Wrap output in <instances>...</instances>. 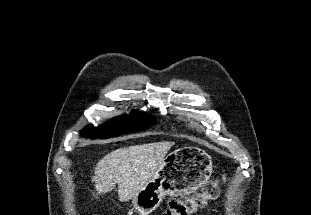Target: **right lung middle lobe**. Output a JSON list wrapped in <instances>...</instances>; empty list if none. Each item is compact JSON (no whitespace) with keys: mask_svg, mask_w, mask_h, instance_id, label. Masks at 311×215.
<instances>
[{"mask_svg":"<svg viewBox=\"0 0 311 215\" xmlns=\"http://www.w3.org/2000/svg\"><path fill=\"white\" fill-rule=\"evenodd\" d=\"M154 123V118L144 116L137 111H133L129 115L116 117L97 128L92 125H88L81 131V134L85 138L104 139L118 134L144 130L153 126Z\"/></svg>","mask_w":311,"mask_h":215,"instance_id":"obj_1","label":"right lung middle lobe"}]
</instances>
